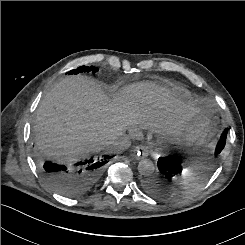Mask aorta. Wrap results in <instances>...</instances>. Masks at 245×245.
<instances>
[{"mask_svg": "<svg viewBox=\"0 0 245 245\" xmlns=\"http://www.w3.org/2000/svg\"><path fill=\"white\" fill-rule=\"evenodd\" d=\"M155 170L154 163L150 159H142L138 163V172L143 176H150Z\"/></svg>", "mask_w": 245, "mask_h": 245, "instance_id": "obj_1", "label": "aorta"}]
</instances>
